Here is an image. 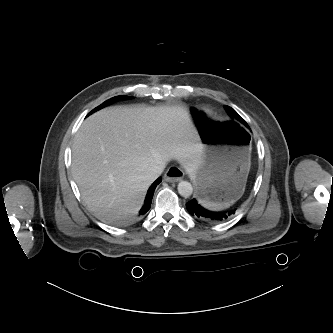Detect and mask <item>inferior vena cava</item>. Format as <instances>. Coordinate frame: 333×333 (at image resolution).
<instances>
[{
	"instance_id": "obj_1",
	"label": "inferior vena cava",
	"mask_w": 333,
	"mask_h": 333,
	"mask_svg": "<svg viewBox=\"0 0 333 333\" xmlns=\"http://www.w3.org/2000/svg\"><path fill=\"white\" fill-rule=\"evenodd\" d=\"M166 163L162 162L158 165H155L153 167L148 168L147 173H146V178L151 179L154 181L157 177L161 175L165 168Z\"/></svg>"
}]
</instances>
